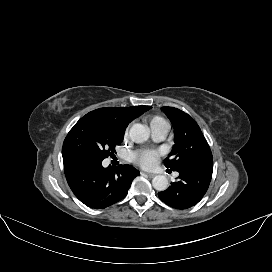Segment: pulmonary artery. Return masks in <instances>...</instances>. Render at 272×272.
I'll list each match as a JSON object with an SVG mask.
<instances>
[{"label":"pulmonary artery","mask_w":272,"mask_h":272,"mask_svg":"<svg viewBox=\"0 0 272 272\" xmlns=\"http://www.w3.org/2000/svg\"><path fill=\"white\" fill-rule=\"evenodd\" d=\"M152 131V137L155 141H162L165 139L167 132H168V126H162L157 129H153ZM175 177L178 176V173L174 174Z\"/></svg>","instance_id":"1"}]
</instances>
